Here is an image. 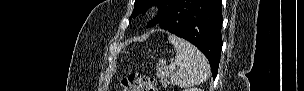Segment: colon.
<instances>
[{
	"label": "colon",
	"mask_w": 304,
	"mask_h": 91,
	"mask_svg": "<svg viewBox=\"0 0 304 91\" xmlns=\"http://www.w3.org/2000/svg\"><path fill=\"white\" fill-rule=\"evenodd\" d=\"M121 86L124 91H154L155 79L132 74L121 80Z\"/></svg>",
	"instance_id": "obj_1"
}]
</instances>
